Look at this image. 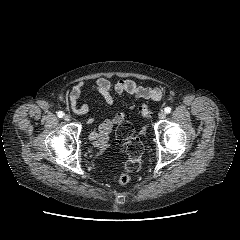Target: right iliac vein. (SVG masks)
I'll return each mask as SVG.
<instances>
[{"label": "right iliac vein", "mask_w": 240, "mask_h": 240, "mask_svg": "<svg viewBox=\"0 0 240 240\" xmlns=\"http://www.w3.org/2000/svg\"><path fill=\"white\" fill-rule=\"evenodd\" d=\"M64 120L67 121V122L70 121L71 120V116L68 115V114L64 115Z\"/></svg>", "instance_id": "right-iliac-vein-1"}]
</instances>
